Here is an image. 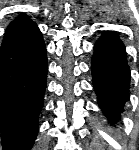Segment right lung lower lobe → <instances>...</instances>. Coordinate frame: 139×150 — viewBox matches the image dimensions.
<instances>
[{"label": "right lung lower lobe", "mask_w": 139, "mask_h": 150, "mask_svg": "<svg viewBox=\"0 0 139 150\" xmlns=\"http://www.w3.org/2000/svg\"><path fill=\"white\" fill-rule=\"evenodd\" d=\"M46 82L47 55L41 31L21 15L8 25L0 44L2 150L31 149Z\"/></svg>", "instance_id": "1"}]
</instances>
